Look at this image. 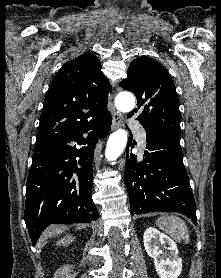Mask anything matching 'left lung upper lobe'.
I'll return each mask as SVG.
<instances>
[{"label": "left lung upper lobe", "mask_w": 221, "mask_h": 278, "mask_svg": "<svg viewBox=\"0 0 221 278\" xmlns=\"http://www.w3.org/2000/svg\"><path fill=\"white\" fill-rule=\"evenodd\" d=\"M137 97V108L128 117L138 113L137 120L147 135H175L180 137L181 114L175 85L159 62L139 57L128 68L127 78L119 83Z\"/></svg>", "instance_id": "left-lung-upper-lobe-1"}]
</instances>
